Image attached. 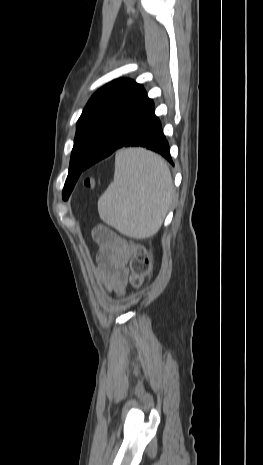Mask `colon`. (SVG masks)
<instances>
[{
  "label": "colon",
  "instance_id": "colon-1",
  "mask_svg": "<svg viewBox=\"0 0 263 465\" xmlns=\"http://www.w3.org/2000/svg\"><path fill=\"white\" fill-rule=\"evenodd\" d=\"M94 180L88 178L85 180L86 187H92ZM130 252V284L133 288H141L148 279L151 271V262L146 247L142 244L134 243L129 247Z\"/></svg>",
  "mask_w": 263,
  "mask_h": 465
}]
</instances>
